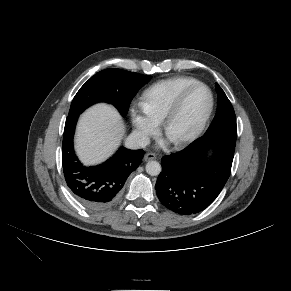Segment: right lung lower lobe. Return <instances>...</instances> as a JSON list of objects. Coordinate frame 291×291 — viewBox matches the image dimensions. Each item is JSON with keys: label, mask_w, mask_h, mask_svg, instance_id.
Here are the masks:
<instances>
[{"label": "right lung lower lobe", "mask_w": 291, "mask_h": 291, "mask_svg": "<svg viewBox=\"0 0 291 291\" xmlns=\"http://www.w3.org/2000/svg\"><path fill=\"white\" fill-rule=\"evenodd\" d=\"M79 114L68 116L65 123L62 163L66 183L76 199L93 211L112 206L119 198L126 179L141 163L143 150L121 147L105 163L85 167L73 150V136Z\"/></svg>", "instance_id": "right-lung-lower-lobe-1"}]
</instances>
